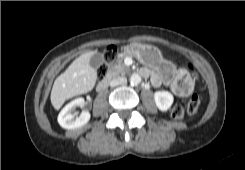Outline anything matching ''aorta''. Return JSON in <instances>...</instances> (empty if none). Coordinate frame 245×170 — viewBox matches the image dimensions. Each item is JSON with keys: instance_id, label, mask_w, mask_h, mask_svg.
Segmentation results:
<instances>
[{"instance_id": "1", "label": "aorta", "mask_w": 245, "mask_h": 170, "mask_svg": "<svg viewBox=\"0 0 245 170\" xmlns=\"http://www.w3.org/2000/svg\"><path fill=\"white\" fill-rule=\"evenodd\" d=\"M140 82H141V77H140V75L134 73V74H132V75L130 76V83H131L132 85H137V84H139Z\"/></svg>"}]
</instances>
